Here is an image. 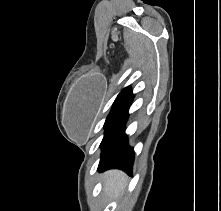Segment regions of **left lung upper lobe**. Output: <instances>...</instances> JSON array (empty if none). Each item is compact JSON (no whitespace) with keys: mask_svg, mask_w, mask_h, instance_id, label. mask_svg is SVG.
<instances>
[{"mask_svg":"<svg viewBox=\"0 0 221 211\" xmlns=\"http://www.w3.org/2000/svg\"><path fill=\"white\" fill-rule=\"evenodd\" d=\"M133 93L130 87L124 88L119 95L117 96L116 100L113 103L112 109L105 121V126H107L111 120L118 115L124 108H126L133 100Z\"/></svg>","mask_w":221,"mask_h":211,"instance_id":"5c2ea615","label":"left lung upper lobe"}]
</instances>
